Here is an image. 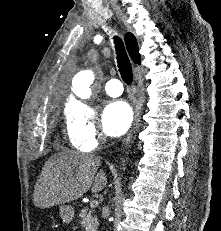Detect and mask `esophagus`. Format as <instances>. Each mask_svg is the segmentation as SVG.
<instances>
[{
    "instance_id": "esophagus-1",
    "label": "esophagus",
    "mask_w": 221,
    "mask_h": 231,
    "mask_svg": "<svg viewBox=\"0 0 221 231\" xmlns=\"http://www.w3.org/2000/svg\"><path fill=\"white\" fill-rule=\"evenodd\" d=\"M141 108H142V99L141 97L138 99L137 105H136V111H135V117H134V123L132 126V129L130 130L128 136L125 139V144H128L130 139L132 138L133 132L136 130L138 122L140 120L141 116Z\"/></svg>"
}]
</instances>
